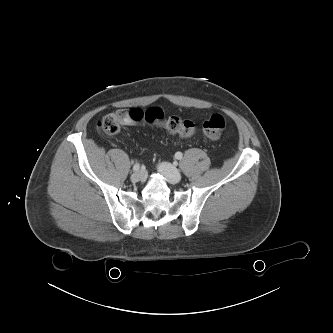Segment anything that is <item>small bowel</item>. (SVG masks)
I'll list each match as a JSON object with an SVG mask.
<instances>
[{
  "label": "small bowel",
  "mask_w": 333,
  "mask_h": 333,
  "mask_svg": "<svg viewBox=\"0 0 333 333\" xmlns=\"http://www.w3.org/2000/svg\"><path fill=\"white\" fill-rule=\"evenodd\" d=\"M130 115V121L126 125L150 124L149 120L153 118L163 119V111L160 108L153 107L147 110L138 108L127 109Z\"/></svg>",
  "instance_id": "c3829d8e"
}]
</instances>
